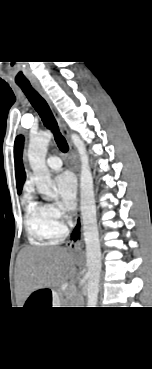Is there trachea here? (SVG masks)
I'll return each mask as SVG.
<instances>
[{"label":"trachea","mask_w":152,"mask_h":369,"mask_svg":"<svg viewBox=\"0 0 152 369\" xmlns=\"http://www.w3.org/2000/svg\"><path fill=\"white\" fill-rule=\"evenodd\" d=\"M18 86L25 93L30 103L40 115L44 125L52 131L59 149L66 153L69 149L67 141L59 131L56 119L45 99L31 86L30 83H18Z\"/></svg>","instance_id":"1"}]
</instances>
